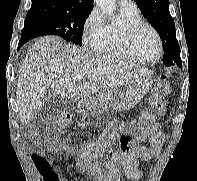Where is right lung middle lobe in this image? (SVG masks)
Instances as JSON below:
<instances>
[{
	"label": "right lung middle lobe",
	"instance_id": "dd1d6c3e",
	"mask_svg": "<svg viewBox=\"0 0 197 181\" xmlns=\"http://www.w3.org/2000/svg\"><path fill=\"white\" fill-rule=\"evenodd\" d=\"M90 12L30 10L25 18L22 36L30 39L44 35H58L68 42L82 44V32Z\"/></svg>",
	"mask_w": 197,
	"mask_h": 181
}]
</instances>
